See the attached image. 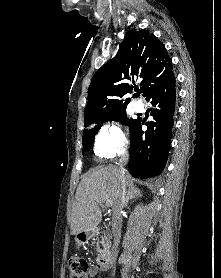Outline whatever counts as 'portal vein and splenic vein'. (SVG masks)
<instances>
[{
  "mask_svg": "<svg viewBox=\"0 0 221 278\" xmlns=\"http://www.w3.org/2000/svg\"><path fill=\"white\" fill-rule=\"evenodd\" d=\"M105 204H106L107 206H109V205L111 204V202H110L109 200H106V201H105Z\"/></svg>",
  "mask_w": 221,
  "mask_h": 278,
  "instance_id": "portal-vein-and-splenic-vein-1",
  "label": "portal vein and splenic vein"
}]
</instances>
